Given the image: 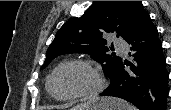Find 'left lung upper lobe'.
<instances>
[{
    "label": "left lung upper lobe",
    "mask_w": 171,
    "mask_h": 110,
    "mask_svg": "<svg viewBox=\"0 0 171 110\" xmlns=\"http://www.w3.org/2000/svg\"><path fill=\"white\" fill-rule=\"evenodd\" d=\"M148 16L141 1H94L81 17L70 19L59 29L41 70L61 54L88 53L111 78L122 59L107 54L112 47L105 46L103 34L115 31L117 37L128 41Z\"/></svg>",
    "instance_id": "5c2ea615"
}]
</instances>
